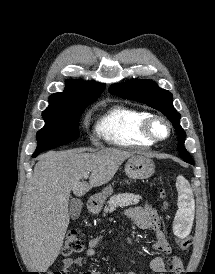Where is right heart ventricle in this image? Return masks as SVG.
<instances>
[{
    "instance_id": "right-heart-ventricle-1",
    "label": "right heart ventricle",
    "mask_w": 215,
    "mask_h": 274,
    "mask_svg": "<svg viewBox=\"0 0 215 274\" xmlns=\"http://www.w3.org/2000/svg\"><path fill=\"white\" fill-rule=\"evenodd\" d=\"M150 114L144 110L117 105L111 107L97 122L98 137L120 147L150 146L153 143L144 136L142 124Z\"/></svg>"
}]
</instances>
